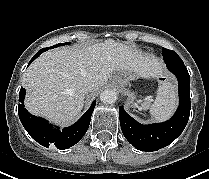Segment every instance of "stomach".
I'll return each instance as SVG.
<instances>
[{"label":"stomach","mask_w":209,"mask_h":179,"mask_svg":"<svg viewBox=\"0 0 209 179\" xmlns=\"http://www.w3.org/2000/svg\"><path fill=\"white\" fill-rule=\"evenodd\" d=\"M137 77L136 75L131 71H123L121 72L117 77V82L123 89L125 86H127L130 81L135 80Z\"/></svg>","instance_id":"0dacf381"}]
</instances>
